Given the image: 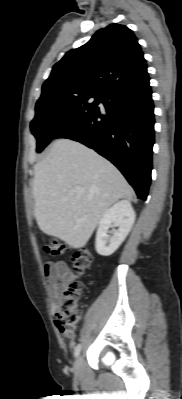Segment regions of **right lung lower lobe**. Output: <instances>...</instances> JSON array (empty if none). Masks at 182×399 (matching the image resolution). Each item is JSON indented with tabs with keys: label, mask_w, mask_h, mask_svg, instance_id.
I'll return each instance as SVG.
<instances>
[{
	"label": "right lung lower lobe",
	"mask_w": 182,
	"mask_h": 399,
	"mask_svg": "<svg viewBox=\"0 0 182 399\" xmlns=\"http://www.w3.org/2000/svg\"><path fill=\"white\" fill-rule=\"evenodd\" d=\"M149 77L117 86L103 95L100 110L55 138L78 141L110 160L146 200L151 182L154 105Z\"/></svg>",
	"instance_id": "1"
}]
</instances>
